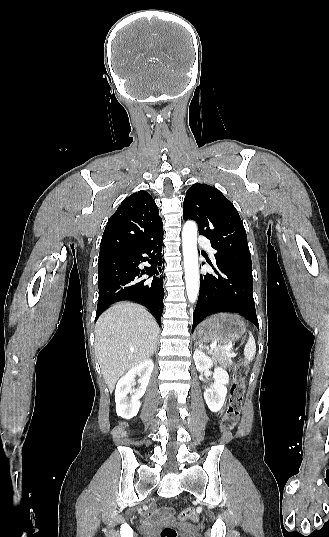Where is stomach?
I'll return each instance as SVG.
<instances>
[{
    "label": "stomach",
    "mask_w": 329,
    "mask_h": 537,
    "mask_svg": "<svg viewBox=\"0 0 329 537\" xmlns=\"http://www.w3.org/2000/svg\"><path fill=\"white\" fill-rule=\"evenodd\" d=\"M246 331L244 320L236 314L219 313L203 321L195 331L197 342L227 343L239 339Z\"/></svg>",
    "instance_id": "stomach-1"
}]
</instances>
